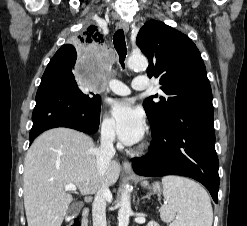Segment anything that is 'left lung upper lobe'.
I'll list each match as a JSON object with an SVG mask.
<instances>
[{
	"instance_id": "obj_1",
	"label": "left lung upper lobe",
	"mask_w": 247,
	"mask_h": 226,
	"mask_svg": "<svg viewBox=\"0 0 247 226\" xmlns=\"http://www.w3.org/2000/svg\"><path fill=\"white\" fill-rule=\"evenodd\" d=\"M136 43L149 60L148 76L159 78L165 93L143 102L152 129L188 106L212 103L204 62L188 36L161 21L150 20L140 29ZM154 97L159 102H154Z\"/></svg>"
}]
</instances>
